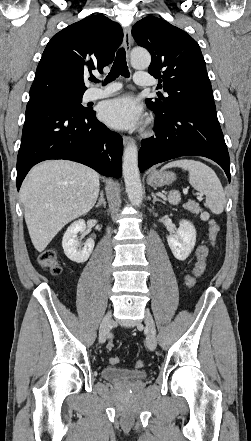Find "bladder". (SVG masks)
<instances>
[{
    "instance_id": "1",
    "label": "bladder",
    "mask_w": 251,
    "mask_h": 441,
    "mask_svg": "<svg viewBox=\"0 0 251 441\" xmlns=\"http://www.w3.org/2000/svg\"><path fill=\"white\" fill-rule=\"evenodd\" d=\"M147 372L144 370H131L118 367H105L101 370L103 379L119 383V382H139L147 377Z\"/></svg>"
}]
</instances>
